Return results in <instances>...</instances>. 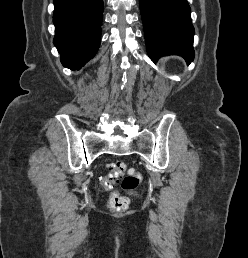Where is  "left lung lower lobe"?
<instances>
[{
    "mask_svg": "<svg viewBox=\"0 0 248 258\" xmlns=\"http://www.w3.org/2000/svg\"><path fill=\"white\" fill-rule=\"evenodd\" d=\"M150 59L156 62L166 55L194 59V27L187 0H139Z\"/></svg>",
    "mask_w": 248,
    "mask_h": 258,
    "instance_id": "left-lung-lower-lobe-1",
    "label": "left lung lower lobe"
}]
</instances>
